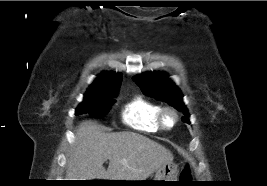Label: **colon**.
I'll return each instance as SVG.
<instances>
[{"label": "colon", "mask_w": 267, "mask_h": 186, "mask_svg": "<svg viewBox=\"0 0 267 186\" xmlns=\"http://www.w3.org/2000/svg\"><path fill=\"white\" fill-rule=\"evenodd\" d=\"M180 178H181V180H189L191 178V170H190V167L188 165H186L182 169Z\"/></svg>", "instance_id": "colon-1"}]
</instances>
